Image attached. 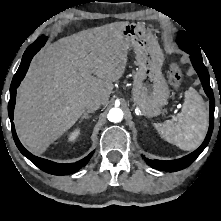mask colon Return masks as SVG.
<instances>
[{"mask_svg": "<svg viewBox=\"0 0 221 221\" xmlns=\"http://www.w3.org/2000/svg\"><path fill=\"white\" fill-rule=\"evenodd\" d=\"M169 81L174 87H179L183 80V71L182 68L173 63L169 69Z\"/></svg>", "mask_w": 221, "mask_h": 221, "instance_id": "colon-1", "label": "colon"}]
</instances>
